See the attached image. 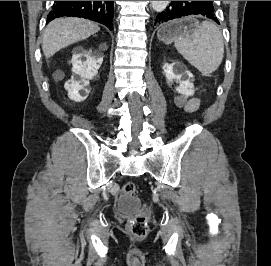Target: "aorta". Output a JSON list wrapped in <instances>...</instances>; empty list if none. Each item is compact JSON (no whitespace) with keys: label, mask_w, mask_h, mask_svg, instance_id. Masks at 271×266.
<instances>
[{"label":"aorta","mask_w":271,"mask_h":266,"mask_svg":"<svg viewBox=\"0 0 271 266\" xmlns=\"http://www.w3.org/2000/svg\"><path fill=\"white\" fill-rule=\"evenodd\" d=\"M152 2V8L156 12H162L166 9L167 5L169 4V1H151Z\"/></svg>","instance_id":"aorta-1"}]
</instances>
